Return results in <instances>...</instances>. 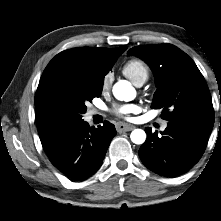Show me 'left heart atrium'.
Returning a JSON list of instances; mask_svg holds the SVG:
<instances>
[{
  "label": "left heart atrium",
  "mask_w": 221,
  "mask_h": 221,
  "mask_svg": "<svg viewBox=\"0 0 221 221\" xmlns=\"http://www.w3.org/2000/svg\"><path fill=\"white\" fill-rule=\"evenodd\" d=\"M137 111V107L135 105H123L116 107L114 112L120 117H127L129 114Z\"/></svg>",
  "instance_id": "obj_1"
}]
</instances>
